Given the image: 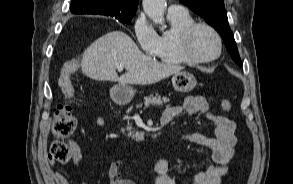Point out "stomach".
I'll list each match as a JSON object with an SVG mask.
<instances>
[{
	"label": "stomach",
	"mask_w": 293,
	"mask_h": 184,
	"mask_svg": "<svg viewBox=\"0 0 293 184\" xmlns=\"http://www.w3.org/2000/svg\"><path fill=\"white\" fill-rule=\"evenodd\" d=\"M197 84L196 78L189 72L180 71L172 77V85L178 92L187 93L192 91ZM136 90L128 85L119 83L110 90V96L118 104H127L134 97Z\"/></svg>",
	"instance_id": "stomach-1"
}]
</instances>
